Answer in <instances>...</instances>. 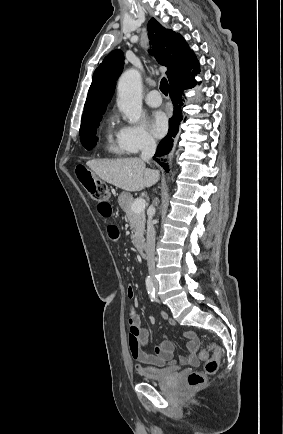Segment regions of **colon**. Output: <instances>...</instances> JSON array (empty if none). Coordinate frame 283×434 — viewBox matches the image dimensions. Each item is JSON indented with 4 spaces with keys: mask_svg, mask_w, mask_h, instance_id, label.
Returning a JSON list of instances; mask_svg holds the SVG:
<instances>
[{
    "mask_svg": "<svg viewBox=\"0 0 283 434\" xmlns=\"http://www.w3.org/2000/svg\"><path fill=\"white\" fill-rule=\"evenodd\" d=\"M76 175L93 200L97 202L108 201L110 197L108 187L104 182L97 179L90 170L85 166H78L76 168ZM212 350L214 353L211 356L210 353ZM198 354L200 359L205 361L204 370L193 371L188 375L187 383L190 388H198L204 385L206 376L214 374L219 366L221 352L217 346L211 345L208 348H202L199 350Z\"/></svg>",
    "mask_w": 283,
    "mask_h": 434,
    "instance_id": "colon-1",
    "label": "colon"
}]
</instances>
